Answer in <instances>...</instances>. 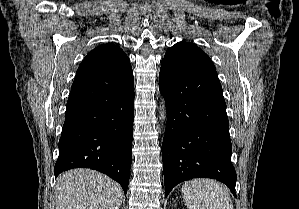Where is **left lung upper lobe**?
I'll list each match as a JSON object with an SVG mask.
<instances>
[{
  "label": "left lung upper lobe",
  "instance_id": "5c2ea615",
  "mask_svg": "<svg viewBox=\"0 0 299 209\" xmlns=\"http://www.w3.org/2000/svg\"><path fill=\"white\" fill-rule=\"evenodd\" d=\"M162 62L176 67L213 69L215 66L210 57L189 42H179L169 48Z\"/></svg>",
  "mask_w": 299,
  "mask_h": 209
}]
</instances>
